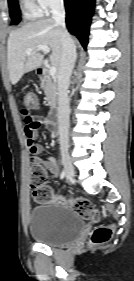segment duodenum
Instances as JSON below:
<instances>
[{"mask_svg":"<svg viewBox=\"0 0 134 281\" xmlns=\"http://www.w3.org/2000/svg\"><path fill=\"white\" fill-rule=\"evenodd\" d=\"M37 74L40 78H43L46 75V70L44 67H39L37 69ZM47 122L51 125V126H56L59 123V112L57 109L53 110L50 112L48 118H47Z\"/></svg>","mask_w":134,"mask_h":281,"instance_id":"obj_1","label":"duodenum"}]
</instances>
